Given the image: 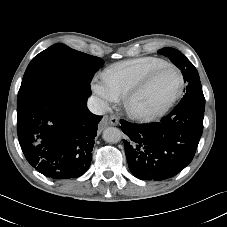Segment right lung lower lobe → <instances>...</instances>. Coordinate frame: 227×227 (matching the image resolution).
Masks as SVG:
<instances>
[{
    "label": "right lung lower lobe",
    "instance_id": "right-lung-lower-lobe-1",
    "mask_svg": "<svg viewBox=\"0 0 227 227\" xmlns=\"http://www.w3.org/2000/svg\"><path fill=\"white\" fill-rule=\"evenodd\" d=\"M89 96L44 90L17 104V133L27 161L54 179L83 175L90 166L97 124Z\"/></svg>",
    "mask_w": 227,
    "mask_h": 227
}]
</instances>
